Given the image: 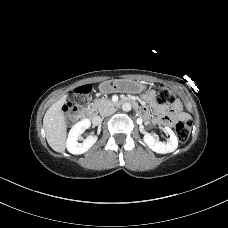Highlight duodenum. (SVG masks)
Listing matches in <instances>:
<instances>
[{
  "mask_svg": "<svg viewBox=\"0 0 228 228\" xmlns=\"http://www.w3.org/2000/svg\"><path fill=\"white\" fill-rule=\"evenodd\" d=\"M113 105H122V104H133L136 106V102L131 99H124L122 101L113 102ZM80 119L82 120H92L94 118V113L92 109H84L79 114Z\"/></svg>",
  "mask_w": 228,
  "mask_h": 228,
  "instance_id": "1",
  "label": "duodenum"
}]
</instances>
